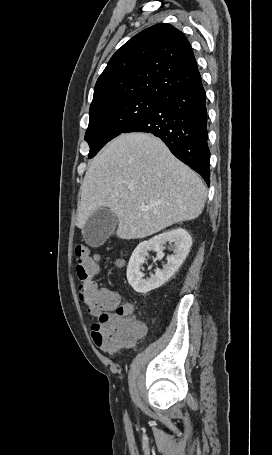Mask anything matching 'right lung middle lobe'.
I'll list each match as a JSON object with an SVG mask.
<instances>
[{"instance_id":"obj_1","label":"right lung middle lobe","mask_w":272,"mask_h":455,"mask_svg":"<svg viewBox=\"0 0 272 455\" xmlns=\"http://www.w3.org/2000/svg\"><path fill=\"white\" fill-rule=\"evenodd\" d=\"M163 100L155 96H133L90 109L85 134L90 146L88 157H94L107 142L160 107Z\"/></svg>"}]
</instances>
